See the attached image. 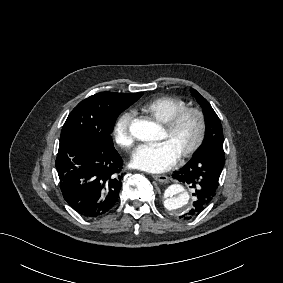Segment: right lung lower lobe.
Segmentation results:
<instances>
[{"label":"right lung lower lobe","mask_w":283,"mask_h":283,"mask_svg":"<svg viewBox=\"0 0 283 283\" xmlns=\"http://www.w3.org/2000/svg\"><path fill=\"white\" fill-rule=\"evenodd\" d=\"M55 164L62 195L78 214L96 218L113 208L123 165L114 147L83 138L61 140Z\"/></svg>","instance_id":"1"}]
</instances>
